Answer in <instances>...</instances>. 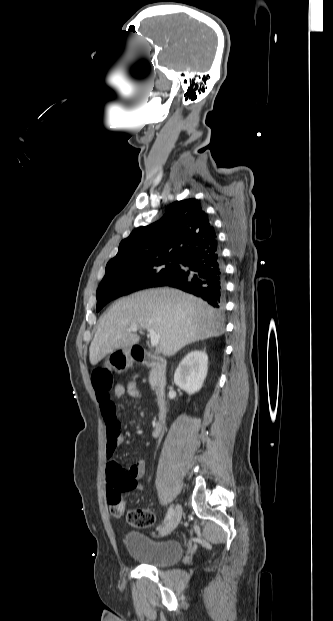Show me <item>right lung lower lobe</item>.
<instances>
[{
  "mask_svg": "<svg viewBox=\"0 0 333 621\" xmlns=\"http://www.w3.org/2000/svg\"><path fill=\"white\" fill-rule=\"evenodd\" d=\"M179 267L159 286H170L191 293L215 308H222L225 299V268L218 244L190 253Z\"/></svg>",
  "mask_w": 333,
  "mask_h": 621,
  "instance_id": "1",
  "label": "right lung lower lobe"
}]
</instances>
